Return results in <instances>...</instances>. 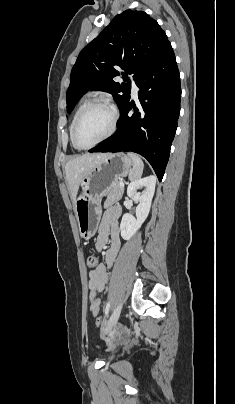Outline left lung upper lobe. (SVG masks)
I'll return each mask as SVG.
<instances>
[{
  "mask_svg": "<svg viewBox=\"0 0 235 404\" xmlns=\"http://www.w3.org/2000/svg\"><path fill=\"white\" fill-rule=\"evenodd\" d=\"M165 32L156 20L142 11L126 10L114 17L110 24L79 54L71 72L67 90V112L89 90L105 91L113 95L119 109L130 97L131 82L169 44ZM123 69L124 81L113 80Z\"/></svg>",
  "mask_w": 235,
  "mask_h": 404,
  "instance_id": "5c2ea615",
  "label": "left lung upper lobe"
}]
</instances>
